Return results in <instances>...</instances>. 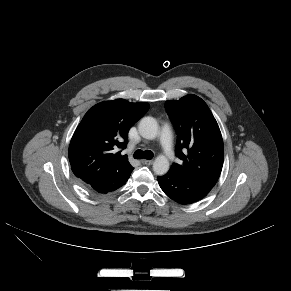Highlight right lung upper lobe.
<instances>
[{"mask_svg":"<svg viewBox=\"0 0 291 291\" xmlns=\"http://www.w3.org/2000/svg\"><path fill=\"white\" fill-rule=\"evenodd\" d=\"M149 109L147 103L123 99L101 102L83 117L70 142L68 156L74 175L86 182L110 169L129 175L133 167L127 156L115 153L125 148L128 131Z\"/></svg>","mask_w":291,"mask_h":291,"instance_id":"right-lung-upper-lobe-1","label":"right lung upper lobe"}]
</instances>
